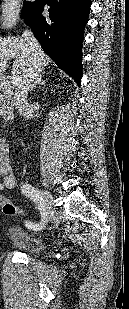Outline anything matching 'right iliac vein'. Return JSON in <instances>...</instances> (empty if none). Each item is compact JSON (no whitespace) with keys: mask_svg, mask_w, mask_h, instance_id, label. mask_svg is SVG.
<instances>
[{"mask_svg":"<svg viewBox=\"0 0 129 309\" xmlns=\"http://www.w3.org/2000/svg\"><path fill=\"white\" fill-rule=\"evenodd\" d=\"M41 195H42V198H43V205L45 207V213H46V216H45V219H44V223L42 225V228L45 227V225L47 224V222L52 218L53 216V207H52V203H51V195L48 191L46 190H42L41 191ZM39 229V230H42Z\"/></svg>","mask_w":129,"mask_h":309,"instance_id":"right-iliac-vein-1","label":"right iliac vein"}]
</instances>
